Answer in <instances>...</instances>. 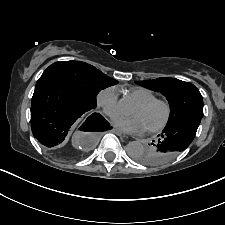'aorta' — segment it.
<instances>
[{
    "mask_svg": "<svg viewBox=\"0 0 225 225\" xmlns=\"http://www.w3.org/2000/svg\"><path fill=\"white\" fill-rule=\"evenodd\" d=\"M144 150V145L139 141H131L126 146V152L131 158H136Z\"/></svg>",
    "mask_w": 225,
    "mask_h": 225,
    "instance_id": "obj_1",
    "label": "aorta"
}]
</instances>
